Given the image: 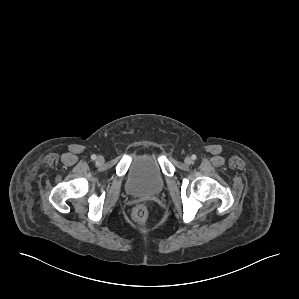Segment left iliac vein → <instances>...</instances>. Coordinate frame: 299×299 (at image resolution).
<instances>
[{
	"mask_svg": "<svg viewBox=\"0 0 299 299\" xmlns=\"http://www.w3.org/2000/svg\"><path fill=\"white\" fill-rule=\"evenodd\" d=\"M184 162H185L186 165H190L192 163V159L190 157H186L184 159Z\"/></svg>",
	"mask_w": 299,
	"mask_h": 299,
	"instance_id": "obj_1",
	"label": "left iliac vein"
}]
</instances>
